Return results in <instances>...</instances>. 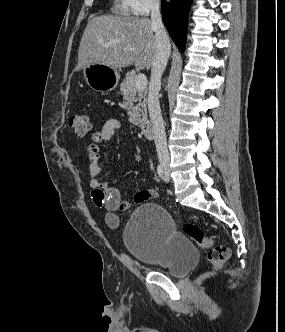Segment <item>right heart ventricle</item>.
<instances>
[{
    "label": "right heart ventricle",
    "instance_id": "1",
    "mask_svg": "<svg viewBox=\"0 0 285 332\" xmlns=\"http://www.w3.org/2000/svg\"><path fill=\"white\" fill-rule=\"evenodd\" d=\"M111 10L113 13L123 16H128L131 12L127 0H113Z\"/></svg>",
    "mask_w": 285,
    "mask_h": 332
}]
</instances>
